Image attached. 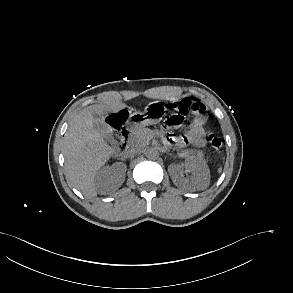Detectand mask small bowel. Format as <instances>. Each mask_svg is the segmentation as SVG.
I'll list each match as a JSON object with an SVG mask.
<instances>
[{
	"label": "small bowel",
	"mask_w": 293,
	"mask_h": 293,
	"mask_svg": "<svg viewBox=\"0 0 293 293\" xmlns=\"http://www.w3.org/2000/svg\"><path fill=\"white\" fill-rule=\"evenodd\" d=\"M204 118H197L190 124L189 131L183 139L176 138L178 145H189L193 148H202L205 145Z\"/></svg>",
	"instance_id": "small-bowel-1"
}]
</instances>
